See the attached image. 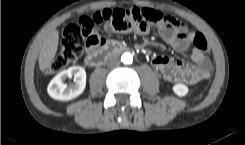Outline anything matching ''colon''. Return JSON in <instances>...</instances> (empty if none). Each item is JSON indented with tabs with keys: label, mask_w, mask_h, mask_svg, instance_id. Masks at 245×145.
Returning <instances> with one entry per match:
<instances>
[{
	"label": "colon",
	"mask_w": 245,
	"mask_h": 145,
	"mask_svg": "<svg viewBox=\"0 0 245 145\" xmlns=\"http://www.w3.org/2000/svg\"><path fill=\"white\" fill-rule=\"evenodd\" d=\"M101 22H108L121 31H145L156 25L172 26L176 21L159 11L138 7L103 9L92 16H83L65 25L59 51L52 64L47 67L46 73L51 74L65 69L83 52L85 47L97 48L100 45V38L92 32V27ZM192 43L203 56L209 54L208 42L202 34H196ZM208 73V69H205L204 77H207Z\"/></svg>",
	"instance_id": "obj_1"
}]
</instances>
